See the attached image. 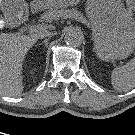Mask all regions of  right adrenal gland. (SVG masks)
<instances>
[{
  "label": "right adrenal gland",
  "instance_id": "1",
  "mask_svg": "<svg viewBox=\"0 0 135 135\" xmlns=\"http://www.w3.org/2000/svg\"><path fill=\"white\" fill-rule=\"evenodd\" d=\"M49 40H50V37L47 38V39H45V40H44L42 43H40V44H45V46L47 47Z\"/></svg>",
  "mask_w": 135,
  "mask_h": 135
}]
</instances>
